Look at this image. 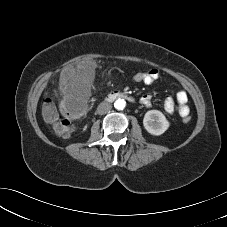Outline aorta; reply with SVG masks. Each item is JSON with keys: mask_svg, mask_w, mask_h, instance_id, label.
I'll use <instances>...</instances> for the list:
<instances>
[{"mask_svg": "<svg viewBox=\"0 0 227 227\" xmlns=\"http://www.w3.org/2000/svg\"><path fill=\"white\" fill-rule=\"evenodd\" d=\"M125 106H126V101L124 99L119 98L114 102V107L117 110H123Z\"/></svg>", "mask_w": 227, "mask_h": 227, "instance_id": "obj_1", "label": "aorta"}]
</instances>
